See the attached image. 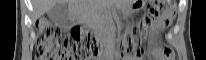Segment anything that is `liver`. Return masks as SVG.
Here are the masks:
<instances>
[{
	"label": "liver",
	"mask_w": 206,
	"mask_h": 60,
	"mask_svg": "<svg viewBox=\"0 0 206 60\" xmlns=\"http://www.w3.org/2000/svg\"><path fill=\"white\" fill-rule=\"evenodd\" d=\"M61 1L68 2V0H32L33 19H38Z\"/></svg>",
	"instance_id": "obj_1"
}]
</instances>
